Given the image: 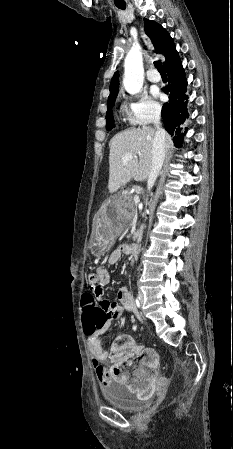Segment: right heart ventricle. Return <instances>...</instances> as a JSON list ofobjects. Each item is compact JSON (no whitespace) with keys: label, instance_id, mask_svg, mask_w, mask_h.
<instances>
[{"label":"right heart ventricle","instance_id":"right-heart-ventricle-1","mask_svg":"<svg viewBox=\"0 0 233 449\" xmlns=\"http://www.w3.org/2000/svg\"><path fill=\"white\" fill-rule=\"evenodd\" d=\"M120 110H121V112H123V113H127V108H126L125 105H122L121 108H120ZM130 120H131V122H134L133 119L131 118V116H130Z\"/></svg>","mask_w":233,"mask_h":449}]
</instances>
